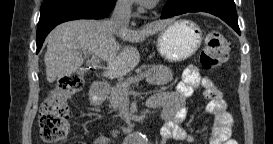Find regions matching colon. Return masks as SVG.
<instances>
[{
	"instance_id": "1",
	"label": "colon",
	"mask_w": 273,
	"mask_h": 144,
	"mask_svg": "<svg viewBox=\"0 0 273 144\" xmlns=\"http://www.w3.org/2000/svg\"><path fill=\"white\" fill-rule=\"evenodd\" d=\"M228 41L219 30H211L205 37L200 54V64L204 70L218 69L228 57ZM82 87L79 76H67L58 82L51 95L42 103L39 113L40 134L47 143H59L69 132V106L67 98Z\"/></svg>"
}]
</instances>
